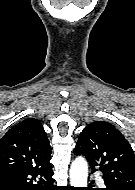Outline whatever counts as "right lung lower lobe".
<instances>
[{
    "instance_id": "98d812e1",
    "label": "right lung lower lobe",
    "mask_w": 135,
    "mask_h": 190,
    "mask_svg": "<svg viewBox=\"0 0 135 190\" xmlns=\"http://www.w3.org/2000/svg\"><path fill=\"white\" fill-rule=\"evenodd\" d=\"M52 165L0 171V190H57L52 181Z\"/></svg>"
}]
</instances>
